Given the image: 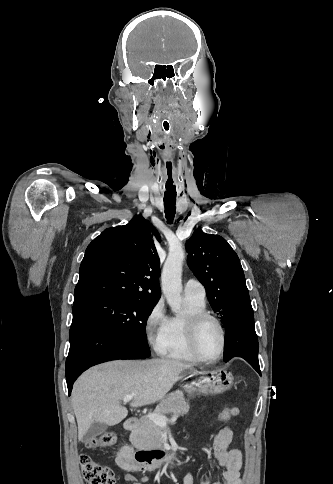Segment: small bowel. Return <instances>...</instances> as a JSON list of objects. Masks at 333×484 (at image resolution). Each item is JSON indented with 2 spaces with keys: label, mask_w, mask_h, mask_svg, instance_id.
Listing matches in <instances>:
<instances>
[{
  "label": "small bowel",
  "mask_w": 333,
  "mask_h": 484,
  "mask_svg": "<svg viewBox=\"0 0 333 484\" xmlns=\"http://www.w3.org/2000/svg\"><path fill=\"white\" fill-rule=\"evenodd\" d=\"M240 414L238 407L230 408L228 417H237ZM233 439V432L229 427H222L213 437L212 456L216 463L224 468L221 481L212 482L208 477L201 479V484H241L240 470L242 467V454L239 449H229ZM125 478L129 484H141V481L130 474ZM183 484H193V476L187 473L184 476Z\"/></svg>",
  "instance_id": "small-bowel-1"
}]
</instances>
